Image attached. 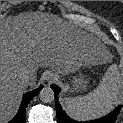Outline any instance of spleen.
Returning a JSON list of instances; mask_svg holds the SVG:
<instances>
[{
  "label": "spleen",
  "instance_id": "spleen-1",
  "mask_svg": "<svg viewBox=\"0 0 123 123\" xmlns=\"http://www.w3.org/2000/svg\"><path fill=\"white\" fill-rule=\"evenodd\" d=\"M122 88L123 80L118 66L112 64L92 92L84 96L66 98V109L78 121L100 118L110 113L119 103Z\"/></svg>",
  "mask_w": 123,
  "mask_h": 123
}]
</instances>
